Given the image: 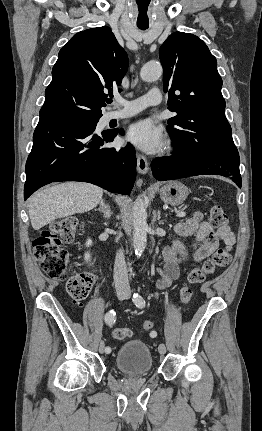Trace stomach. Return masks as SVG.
Segmentation results:
<instances>
[{
  "mask_svg": "<svg viewBox=\"0 0 262 431\" xmlns=\"http://www.w3.org/2000/svg\"><path fill=\"white\" fill-rule=\"evenodd\" d=\"M164 203L177 206L182 204L189 194V189L179 181H170L159 189Z\"/></svg>",
  "mask_w": 262,
  "mask_h": 431,
  "instance_id": "obj_1",
  "label": "stomach"
}]
</instances>
